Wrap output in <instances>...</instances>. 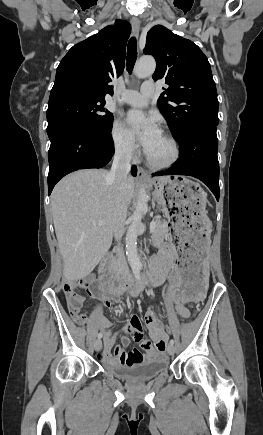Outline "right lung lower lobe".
<instances>
[{"instance_id":"98d812e1","label":"right lung lower lobe","mask_w":263,"mask_h":435,"mask_svg":"<svg viewBox=\"0 0 263 435\" xmlns=\"http://www.w3.org/2000/svg\"><path fill=\"white\" fill-rule=\"evenodd\" d=\"M49 149V195L65 175L79 169L101 168L114 155L111 132L100 135L82 127L58 128L51 135ZM137 169L132 168L136 176Z\"/></svg>"}]
</instances>
